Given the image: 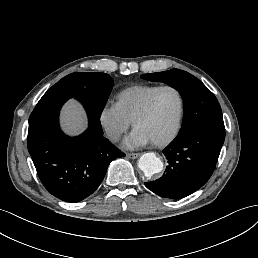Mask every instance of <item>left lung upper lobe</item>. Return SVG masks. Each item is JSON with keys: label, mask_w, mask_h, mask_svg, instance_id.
Here are the masks:
<instances>
[{"label": "left lung upper lobe", "mask_w": 258, "mask_h": 258, "mask_svg": "<svg viewBox=\"0 0 258 258\" xmlns=\"http://www.w3.org/2000/svg\"><path fill=\"white\" fill-rule=\"evenodd\" d=\"M141 78L169 84L182 96L184 120L175 139H182L206 127L225 130L221 107L215 95L190 73L171 69L164 72L143 74Z\"/></svg>", "instance_id": "obj_1"}]
</instances>
